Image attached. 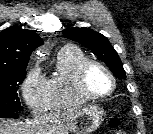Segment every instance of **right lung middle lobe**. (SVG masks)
<instances>
[{
    "instance_id": "dd1d6c3e",
    "label": "right lung middle lobe",
    "mask_w": 153,
    "mask_h": 134,
    "mask_svg": "<svg viewBox=\"0 0 153 134\" xmlns=\"http://www.w3.org/2000/svg\"><path fill=\"white\" fill-rule=\"evenodd\" d=\"M26 70L0 71V111L19 112L23 109L17 94Z\"/></svg>"
}]
</instances>
